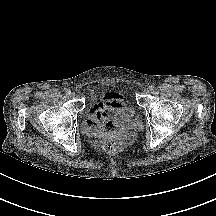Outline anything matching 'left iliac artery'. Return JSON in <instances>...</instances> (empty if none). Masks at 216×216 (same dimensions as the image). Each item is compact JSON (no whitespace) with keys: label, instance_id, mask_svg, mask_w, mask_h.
<instances>
[{"label":"left iliac artery","instance_id":"44dca946","mask_svg":"<svg viewBox=\"0 0 216 216\" xmlns=\"http://www.w3.org/2000/svg\"><path fill=\"white\" fill-rule=\"evenodd\" d=\"M149 88H150V90H154L155 89V86L154 85H151V86H149Z\"/></svg>","mask_w":216,"mask_h":216}]
</instances>
